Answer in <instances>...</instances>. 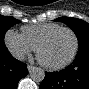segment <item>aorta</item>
<instances>
[{"label":"aorta","mask_w":89,"mask_h":89,"mask_svg":"<svg viewBox=\"0 0 89 89\" xmlns=\"http://www.w3.org/2000/svg\"><path fill=\"white\" fill-rule=\"evenodd\" d=\"M45 77V72L42 68L40 67H33L30 70V78L37 83H40L44 80Z\"/></svg>","instance_id":"762f6f07"}]
</instances>
